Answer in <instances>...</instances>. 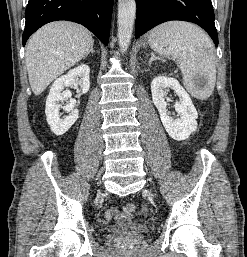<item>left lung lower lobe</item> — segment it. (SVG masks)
Masks as SVG:
<instances>
[{
    "label": "left lung lower lobe",
    "mask_w": 247,
    "mask_h": 257,
    "mask_svg": "<svg viewBox=\"0 0 247 257\" xmlns=\"http://www.w3.org/2000/svg\"><path fill=\"white\" fill-rule=\"evenodd\" d=\"M170 20L196 23L218 46L211 0H137L135 38Z\"/></svg>",
    "instance_id": "obj_1"
}]
</instances>
